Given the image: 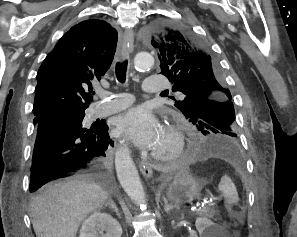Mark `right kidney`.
Wrapping results in <instances>:
<instances>
[{"instance_id": "obj_1", "label": "right kidney", "mask_w": 297, "mask_h": 237, "mask_svg": "<svg viewBox=\"0 0 297 237\" xmlns=\"http://www.w3.org/2000/svg\"><path fill=\"white\" fill-rule=\"evenodd\" d=\"M121 235V225L115 218L107 213L96 212L85 220L79 237H121Z\"/></svg>"}]
</instances>
